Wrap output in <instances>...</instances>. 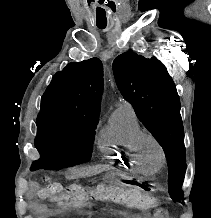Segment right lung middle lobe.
I'll list each match as a JSON object with an SVG mask.
<instances>
[{
    "instance_id": "1",
    "label": "right lung middle lobe",
    "mask_w": 211,
    "mask_h": 218,
    "mask_svg": "<svg viewBox=\"0 0 211 218\" xmlns=\"http://www.w3.org/2000/svg\"><path fill=\"white\" fill-rule=\"evenodd\" d=\"M98 119L99 117L40 111L36 123V143L72 144L82 149L83 160L60 164L56 169L87 162L91 158Z\"/></svg>"
}]
</instances>
